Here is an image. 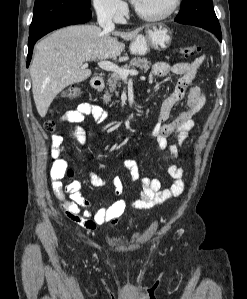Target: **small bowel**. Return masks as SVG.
I'll use <instances>...</instances> for the list:
<instances>
[{
    "instance_id": "c3829d8e",
    "label": "small bowel",
    "mask_w": 247,
    "mask_h": 299,
    "mask_svg": "<svg viewBox=\"0 0 247 299\" xmlns=\"http://www.w3.org/2000/svg\"><path fill=\"white\" fill-rule=\"evenodd\" d=\"M203 55L190 62H178L173 65L167 62H157L151 71L149 80L153 81L156 77H165L172 73L179 76L173 92L162 103L158 122L155 125L152 135L156 139L160 149L169 147L173 158H177L179 146L187 139L193 127V118L205 104V94L202 89L192 82L198 69L203 64ZM187 98V107L175 119L169 121L171 111L184 97ZM87 116H91L97 122L107 119V112L99 105L82 102L75 109L68 110L61 117V121L74 125L73 136L80 145L86 142V133L81 127ZM171 134H176L177 144L168 146L167 138ZM64 150L63 138L61 135H54L52 142V155L56 158L52 168V190L60 203L66 216L78 223L88 231H94L98 226L109 224L115 225L126 209V201L118 198L112 204L102 207L97 211H92L90 202L81 193V184L72 181L63 185L60 179L67 168V162L61 157ZM124 168L129 172L133 181L141 182V192L138 199L132 203V207L137 210L149 209L155 205L165 203L173 197L179 196L184 190V170L176 164L168 167V174L174 179L172 185L163 188L161 181L157 178L140 177V170L135 160L126 159L123 162ZM89 181L94 187H103L106 181L100 176L89 173ZM115 193L120 196L123 191V182L120 178L113 181Z\"/></svg>"
}]
</instances>
